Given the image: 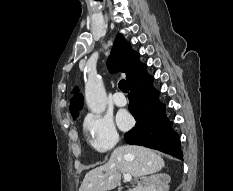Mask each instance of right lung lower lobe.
Returning <instances> with one entry per match:
<instances>
[{
    "mask_svg": "<svg viewBox=\"0 0 233 191\" xmlns=\"http://www.w3.org/2000/svg\"><path fill=\"white\" fill-rule=\"evenodd\" d=\"M146 67L140 63L127 81L129 110L137 122L124 139L129 144L143 145L183 160L180 139L171 130L172 122L164 114L165 105L158 100L159 91L153 87L154 78L146 72Z\"/></svg>",
    "mask_w": 233,
    "mask_h": 191,
    "instance_id": "1",
    "label": "right lung lower lobe"
}]
</instances>
